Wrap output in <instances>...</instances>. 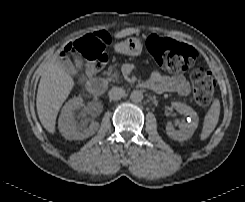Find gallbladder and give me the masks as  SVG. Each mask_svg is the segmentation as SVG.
Listing matches in <instances>:
<instances>
[{"instance_id": "bac80fb5", "label": "gallbladder", "mask_w": 245, "mask_h": 202, "mask_svg": "<svg viewBox=\"0 0 245 202\" xmlns=\"http://www.w3.org/2000/svg\"><path fill=\"white\" fill-rule=\"evenodd\" d=\"M73 59H74V63H75L76 69L78 71H81L83 69V65H84L83 58L80 55H78V54H73Z\"/></svg>"}]
</instances>
